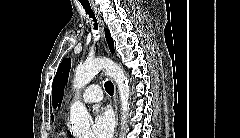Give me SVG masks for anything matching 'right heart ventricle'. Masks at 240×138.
Masks as SVG:
<instances>
[{"mask_svg": "<svg viewBox=\"0 0 240 138\" xmlns=\"http://www.w3.org/2000/svg\"><path fill=\"white\" fill-rule=\"evenodd\" d=\"M58 138H73V137H70L68 136L66 133L64 132H60L59 135H58Z\"/></svg>", "mask_w": 240, "mask_h": 138, "instance_id": "e07e8e85", "label": "right heart ventricle"}]
</instances>
